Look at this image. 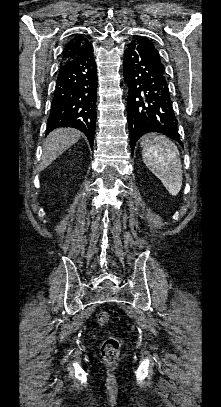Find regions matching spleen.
<instances>
[{"label": "spleen", "instance_id": "spleen-1", "mask_svg": "<svg viewBox=\"0 0 221 407\" xmlns=\"http://www.w3.org/2000/svg\"><path fill=\"white\" fill-rule=\"evenodd\" d=\"M146 167L176 196L182 187V165L177 146L164 136L149 138L142 150Z\"/></svg>", "mask_w": 221, "mask_h": 407}]
</instances>
